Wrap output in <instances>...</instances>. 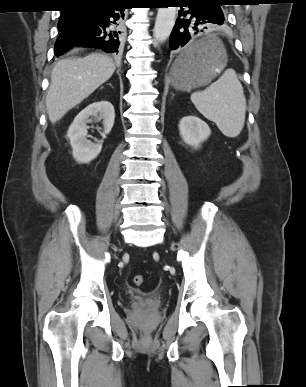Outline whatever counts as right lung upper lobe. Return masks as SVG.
<instances>
[{"label":"right lung upper lobe","mask_w":306,"mask_h":387,"mask_svg":"<svg viewBox=\"0 0 306 387\" xmlns=\"http://www.w3.org/2000/svg\"><path fill=\"white\" fill-rule=\"evenodd\" d=\"M66 7L79 8L84 6H100L115 0H64ZM68 9L64 10V12Z\"/></svg>","instance_id":"obj_1"}]
</instances>
